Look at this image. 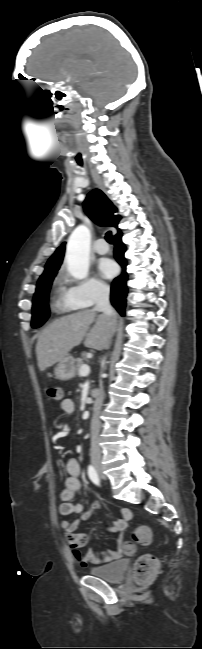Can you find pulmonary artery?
<instances>
[{
	"mask_svg": "<svg viewBox=\"0 0 202 649\" xmlns=\"http://www.w3.org/2000/svg\"><path fill=\"white\" fill-rule=\"evenodd\" d=\"M94 251L99 255H105L109 251V247L104 239H98L94 245Z\"/></svg>",
	"mask_w": 202,
	"mask_h": 649,
	"instance_id": "1",
	"label": "pulmonary artery"
}]
</instances>
